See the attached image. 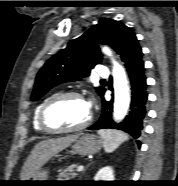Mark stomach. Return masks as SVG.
<instances>
[{"label": "stomach", "instance_id": "obj_1", "mask_svg": "<svg viewBox=\"0 0 178 186\" xmlns=\"http://www.w3.org/2000/svg\"><path fill=\"white\" fill-rule=\"evenodd\" d=\"M103 145V140L94 134H83L78 137L71 146V153L81 156L92 155L97 153ZM27 181L26 185L43 186L48 180V170L39 169Z\"/></svg>", "mask_w": 178, "mask_h": 186}]
</instances>
